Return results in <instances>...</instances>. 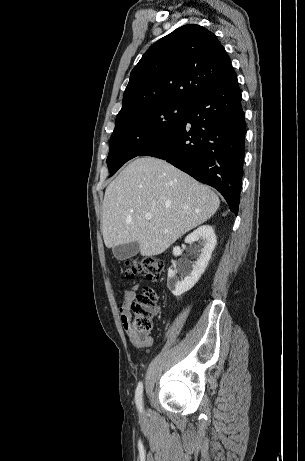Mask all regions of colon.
I'll list each match as a JSON object with an SVG mask.
<instances>
[{
  "mask_svg": "<svg viewBox=\"0 0 305 461\" xmlns=\"http://www.w3.org/2000/svg\"><path fill=\"white\" fill-rule=\"evenodd\" d=\"M163 262L159 257L146 256L126 263L124 271L127 279L143 276L151 281L160 279ZM157 295L151 288H146L130 304L131 330L138 334H149L153 330V314Z\"/></svg>",
  "mask_w": 305,
  "mask_h": 461,
  "instance_id": "colon-1",
  "label": "colon"
}]
</instances>
